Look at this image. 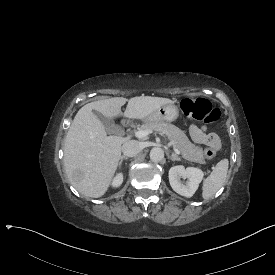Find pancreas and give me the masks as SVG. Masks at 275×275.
I'll use <instances>...</instances> for the list:
<instances>
[{
	"mask_svg": "<svg viewBox=\"0 0 275 275\" xmlns=\"http://www.w3.org/2000/svg\"><path fill=\"white\" fill-rule=\"evenodd\" d=\"M138 130H151L165 134L172 142L173 147L181 152L183 158L200 164L206 163L203 156V149L192 144L185 133L172 124L165 122H146L141 125Z\"/></svg>",
	"mask_w": 275,
	"mask_h": 275,
	"instance_id": "1",
	"label": "pancreas"
}]
</instances>
